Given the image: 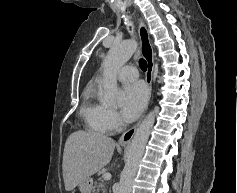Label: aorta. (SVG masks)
<instances>
[{"label":"aorta","instance_id":"1","mask_svg":"<svg viewBox=\"0 0 237 193\" xmlns=\"http://www.w3.org/2000/svg\"><path fill=\"white\" fill-rule=\"evenodd\" d=\"M137 43L135 40H127L114 44L106 58L103 61V78L101 87L103 90L102 101L107 104H114L120 97V91L117 86L116 73L136 51ZM156 110H152L143 119L137 128L131 141L127 161L120 175L119 186L116 193H130L133 179L138 170L142 159L146 143L150 132L155 123Z\"/></svg>","mask_w":237,"mask_h":193}]
</instances>
